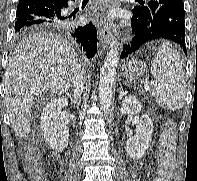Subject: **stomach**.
Wrapping results in <instances>:
<instances>
[{
  "label": "stomach",
  "mask_w": 197,
  "mask_h": 181,
  "mask_svg": "<svg viewBox=\"0 0 197 181\" xmlns=\"http://www.w3.org/2000/svg\"><path fill=\"white\" fill-rule=\"evenodd\" d=\"M145 73H147V65L138 58H131L122 65L121 74L126 79L136 80Z\"/></svg>",
  "instance_id": "1"
}]
</instances>
